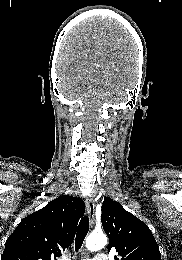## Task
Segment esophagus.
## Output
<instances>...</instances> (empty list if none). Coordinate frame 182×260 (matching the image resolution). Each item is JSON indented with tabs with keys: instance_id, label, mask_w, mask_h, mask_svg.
<instances>
[{
	"instance_id": "34e87169",
	"label": "esophagus",
	"mask_w": 182,
	"mask_h": 260,
	"mask_svg": "<svg viewBox=\"0 0 182 260\" xmlns=\"http://www.w3.org/2000/svg\"><path fill=\"white\" fill-rule=\"evenodd\" d=\"M87 212L89 215L90 225L94 223V213H95V203L91 196H89L86 200Z\"/></svg>"
}]
</instances>
